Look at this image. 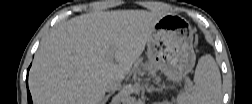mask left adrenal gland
<instances>
[{
    "mask_svg": "<svg viewBox=\"0 0 252 104\" xmlns=\"http://www.w3.org/2000/svg\"><path fill=\"white\" fill-rule=\"evenodd\" d=\"M145 88H146V91L147 92H152V91H162L161 88H155L154 86H148V85H145Z\"/></svg>",
    "mask_w": 252,
    "mask_h": 104,
    "instance_id": "a2214340",
    "label": "left adrenal gland"
}]
</instances>
